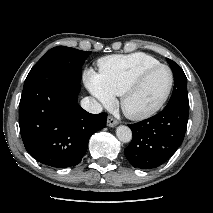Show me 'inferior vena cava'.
Instances as JSON below:
<instances>
[{
	"instance_id": "obj_1",
	"label": "inferior vena cava",
	"mask_w": 213,
	"mask_h": 213,
	"mask_svg": "<svg viewBox=\"0 0 213 213\" xmlns=\"http://www.w3.org/2000/svg\"><path fill=\"white\" fill-rule=\"evenodd\" d=\"M81 106L83 109L93 114H98L103 110L102 105L92 97L83 98L81 101Z\"/></svg>"
}]
</instances>
